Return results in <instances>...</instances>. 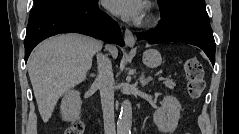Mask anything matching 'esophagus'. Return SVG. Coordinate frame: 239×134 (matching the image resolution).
Returning <instances> with one entry per match:
<instances>
[{
    "mask_svg": "<svg viewBox=\"0 0 239 134\" xmlns=\"http://www.w3.org/2000/svg\"><path fill=\"white\" fill-rule=\"evenodd\" d=\"M124 41L127 47L133 48L135 45L134 35L129 29L125 30Z\"/></svg>",
    "mask_w": 239,
    "mask_h": 134,
    "instance_id": "1",
    "label": "esophagus"
}]
</instances>
